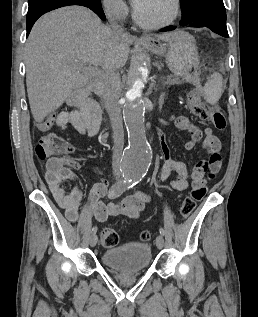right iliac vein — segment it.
<instances>
[{
	"label": "right iliac vein",
	"mask_w": 258,
	"mask_h": 317,
	"mask_svg": "<svg viewBox=\"0 0 258 317\" xmlns=\"http://www.w3.org/2000/svg\"><path fill=\"white\" fill-rule=\"evenodd\" d=\"M89 240H90V242H89L90 245H93V246L95 247V246L97 245V243H98V242H97V240H98V239H97V234H96V233H91Z\"/></svg>",
	"instance_id": "right-iliac-vein-1"
}]
</instances>
